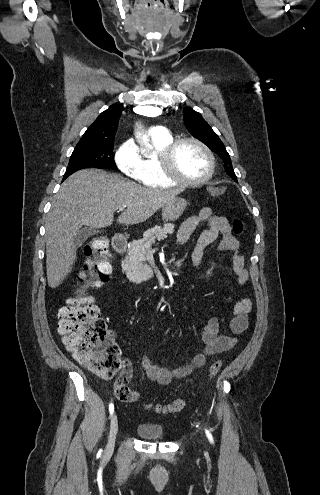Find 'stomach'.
<instances>
[{"label": "stomach", "instance_id": "0dacf381", "mask_svg": "<svg viewBox=\"0 0 320 495\" xmlns=\"http://www.w3.org/2000/svg\"><path fill=\"white\" fill-rule=\"evenodd\" d=\"M187 201L183 198L175 197L162 207V218L165 221L177 220L185 211Z\"/></svg>", "mask_w": 320, "mask_h": 495}]
</instances>
